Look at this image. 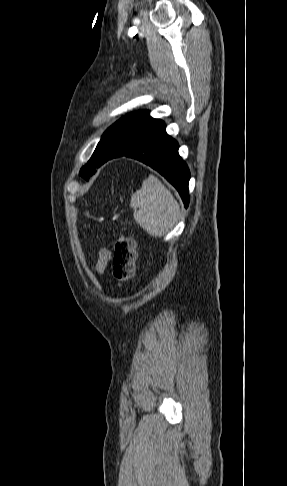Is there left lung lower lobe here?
I'll list each match as a JSON object with an SVG mask.
<instances>
[{
  "instance_id": "obj_1",
  "label": "left lung lower lobe",
  "mask_w": 287,
  "mask_h": 486,
  "mask_svg": "<svg viewBox=\"0 0 287 486\" xmlns=\"http://www.w3.org/2000/svg\"><path fill=\"white\" fill-rule=\"evenodd\" d=\"M122 156L134 158L157 170L178 190L185 207L188 206L190 172L178 154L177 141L166 133L165 125L153 133L140 148Z\"/></svg>"
}]
</instances>
